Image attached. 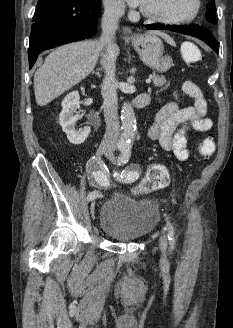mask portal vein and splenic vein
Segmentation results:
<instances>
[{
	"label": "portal vein and splenic vein",
	"mask_w": 233,
	"mask_h": 328,
	"mask_svg": "<svg viewBox=\"0 0 233 328\" xmlns=\"http://www.w3.org/2000/svg\"><path fill=\"white\" fill-rule=\"evenodd\" d=\"M146 83L147 84L151 83V78L150 77L148 79H146Z\"/></svg>",
	"instance_id": "portal-vein-and-splenic-vein-1"
}]
</instances>
